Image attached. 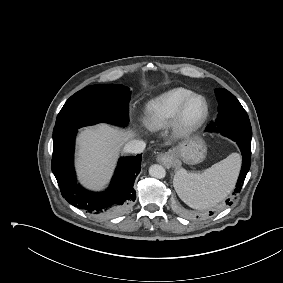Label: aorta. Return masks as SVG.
I'll list each match as a JSON object with an SVG mask.
<instances>
[{"label":"aorta","instance_id":"obj_1","mask_svg":"<svg viewBox=\"0 0 283 283\" xmlns=\"http://www.w3.org/2000/svg\"><path fill=\"white\" fill-rule=\"evenodd\" d=\"M149 174L154 178L162 179L165 177L166 171L161 165L154 164L150 166Z\"/></svg>","mask_w":283,"mask_h":283}]
</instances>
